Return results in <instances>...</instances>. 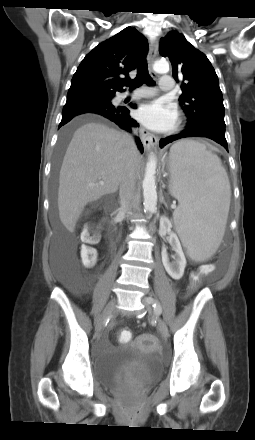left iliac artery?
I'll return each mask as SVG.
<instances>
[{
	"label": "left iliac artery",
	"mask_w": 255,
	"mask_h": 440,
	"mask_svg": "<svg viewBox=\"0 0 255 440\" xmlns=\"http://www.w3.org/2000/svg\"><path fill=\"white\" fill-rule=\"evenodd\" d=\"M147 301H148V303H150V304H152V306H153V308H154V311L157 313V314H161L162 313V308H161V306H160V304H159V302L157 301V300H155L154 298H152V297H148L147 298Z\"/></svg>",
	"instance_id": "44dca946"
}]
</instances>
